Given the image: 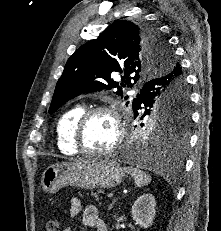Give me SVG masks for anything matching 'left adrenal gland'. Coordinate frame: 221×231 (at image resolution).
Instances as JSON below:
<instances>
[{
	"instance_id": "a2214340",
	"label": "left adrenal gland",
	"mask_w": 221,
	"mask_h": 231,
	"mask_svg": "<svg viewBox=\"0 0 221 231\" xmlns=\"http://www.w3.org/2000/svg\"><path fill=\"white\" fill-rule=\"evenodd\" d=\"M114 203H115V200L109 205V210L112 209Z\"/></svg>"
}]
</instances>
